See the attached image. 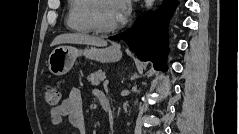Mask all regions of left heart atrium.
Instances as JSON below:
<instances>
[{
    "label": "left heart atrium",
    "instance_id": "1",
    "mask_svg": "<svg viewBox=\"0 0 239 134\" xmlns=\"http://www.w3.org/2000/svg\"><path fill=\"white\" fill-rule=\"evenodd\" d=\"M112 6L117 22L122 23L130 13V2L128 0H114Z\"/></svg>",
    "mask_w": 239,
    "mask_h": 134
}]
</instances>
